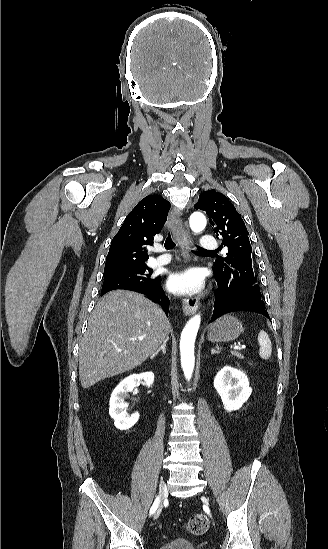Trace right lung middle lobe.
Returning <instances> with one entry per match:
<instances>
[{
	"mask_svg": "<svg viewBox=\"0 0 328 549\" xmlns=\"http://www.w3.org/2000/svg\"><path fill=\"white\" fill-rule=\"evenodd\" d=\"M151 275L152 271L146 264L104 272L101 295L116 289L148 287L158 279Z\"/></svg>",
	"mask_w": 328,
	"mask_h": 549,
	"instance_id": "dd1d6c3e",
	"label": "right lung middle lobe"
}]
</instances>
